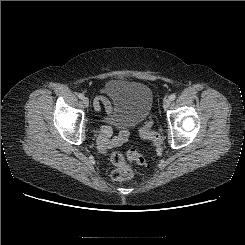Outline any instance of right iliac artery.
<instances>
[{
    "label": "right iliac artery",
    "instance_id": "right-iliac-artery-1",
    "mask_svg": "<svg viewBox=\"0 0 245 245\" xmlns=\"http://www.w3.org/2000/svg\"><path fill=\"white\" fill-rule=\"evenodd\" d=\"M78 97H79L80 99H83L84 95H83L82 93H79V94H78Z\"/></svg>",
    "mask_w": 245,
    "mask_h": 245
}]
</instances>
